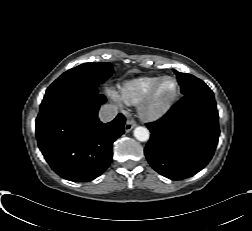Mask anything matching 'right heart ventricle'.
<instances>
[{"instance_id": "right-heart-ventricle-1", "label": "right heart ventricle", "mask_w": 252, "mask_h": 231, "mask_svg": "<svg viewBox=\"0 0 252 231\" xmlns=\"http://www.w3.org/2000/svg\"><path fill=\"white\" fill-rule=\"evenodd\" d=\"M160 78V76H141L126 80L119 85L117 96L129 105H137Z\"/></svg>"}]
</instances>
